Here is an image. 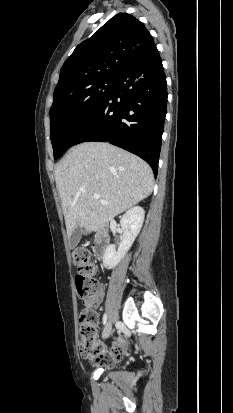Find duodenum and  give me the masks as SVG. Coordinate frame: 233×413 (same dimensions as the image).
<instances>
[{
    "label": "duodenum",
    "instance_id": "410a0bca",
    "mask_svg": "<svg viewBox=\"0 0 233 413\" xmlns=\"http://www.w3.org/2000/svg\"><path fill=\"white\" fill-rule=\"evenodd\" d=\"M109 234L104 229H98L95 233V240L93 244V252L97 257H101L109 244Z\"/></svg>",
    "mask_w": 233,
    "mask_h": 413
}]
</instances>
